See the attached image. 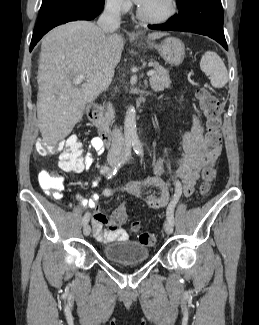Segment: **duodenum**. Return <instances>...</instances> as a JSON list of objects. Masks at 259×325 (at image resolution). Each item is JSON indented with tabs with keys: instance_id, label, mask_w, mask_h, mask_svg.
I'll return each mask as SVG.
<instances>
[{
	"instance_id": "duodenum-1",
	"label": "duodenum",
	"mask_w": 259,
	"mask_h": 325,
	"mask_svg": "<svg viewBox=\"0 0 259 325\" xmlns=\"http://www.w3.org/2000/svg\"><path fill=\"white\" fill-rule=\"evenodd\" d=\"M87 115L92 124L98 128L99 137L103 144L109 146L111 144L112 136L111 133L102 125L100 106L98 104L90 105Z\"/></svg>"
}]
</instances>
